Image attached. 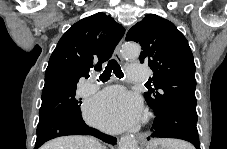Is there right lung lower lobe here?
Segmentation results:
<instances>
[{
    "label": "right lung lower lobe",
    "instance_id": "98d812e1",
    "mask_svg": "<svg viewBox=\"0 0 227 149\" xmlns=\"http://www.w3.org/2000/svg\"><path fill=\"white\" fill-rule=\"evenodd\" d=\"M65 135H91L112 145H115L117 140L115 137L103 134L97 129L89 127L82 117L62 116L39 122L35 149L48 140Z\"/></svg>",
    "mask_w": 227,
    "mask_h": 149
}]
</instances>
